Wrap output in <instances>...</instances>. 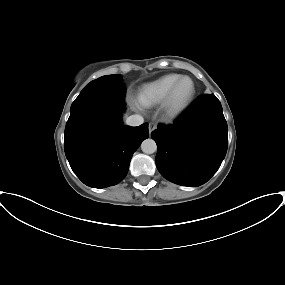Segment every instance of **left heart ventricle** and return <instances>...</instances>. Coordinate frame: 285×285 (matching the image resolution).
Returning <instances> with one entry per match:
<instances>
[{
	"mask_svg": "<svg viewBox=\"0 0 285 285\" xmlns=\"http://www.w3.org/2000/svg\"><path fill=\"white\" fill-rule=\"evenodd\" d=\"M191 91H192L191 81L190 80L182 81L176 93L175 97L176 102L177 103L184 102L189 97Z\"/></svg>",
	"mask_w": 285,
	"mask_h": 285,
	"instance_id": "left-heart-ventricle-1",
	"label": "left heart ventricle"
}]
</instances>
